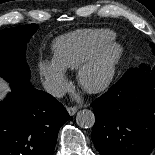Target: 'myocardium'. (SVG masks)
<instances>
[{"instance_id": "1", "label": "myocardium", "mask_w": 155, "mask_h": 155, "mask_svg": "<svg viewBox=\"0 0 155 155\" xmlns=\"http://www.w3.org/2000/svg\"><path fill=\"white\" fill-rule=\"evenodd\" d=\"M124 54L123 47L115 40L107 42L89 60L83 63L77 72L78 84L86 92L94 94L106 89L114 79ZM104 66L103 77L96 82H89V76Z\"/></svg>"}]
</instances>
